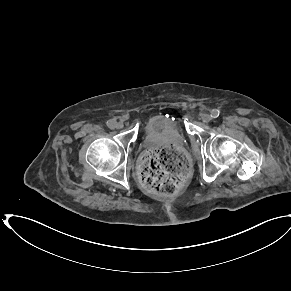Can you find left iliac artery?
Returning a JSON list of instances; mask_svg holds the SVG:
<instances>
[{
    "label": "left iliac artery",
    "mask_w": 291,
    "mask_h": 291,
    "mask_svg": "<svg viewBox=\"0 0 291 291\" xmlns=\"http://www.w3.org/2000/svg\"><path fill=\"white\" fill-rule=\"evenodd\" d=\"M220 115V111L218 109H213L211 111V117L212 118H217Z\"/></svg>",
    "instance_id": "44dca946"
}]
</instances>
